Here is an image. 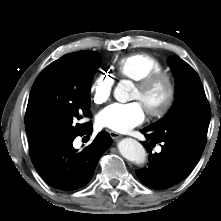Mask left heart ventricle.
Returning a JSON list of instances; mask_svg holds the SVG:
<instances>
[{
	"instance_id": "1",
	"label": "left heart ventricle",
	"mask_w": 221,
	"mask_h": 221,
	"mask_svg": "<svg viewBox=\"0 0 221 221\" xmlns=\"http://www.w3.org/2000/svg\"><path fill=\"white\" fill-rule=\"evenodd\" d=\"M166 94L167 88L165 83L158 82L147 91H143L136 86L132 99L140 101L145 110L156 109L163 104Z\"/></svg>"
}]
</instances>
